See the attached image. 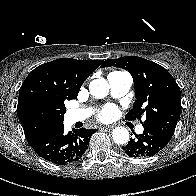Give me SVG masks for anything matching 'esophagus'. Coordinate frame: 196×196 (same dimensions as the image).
<instances>
[{
  "mask_svg": "<svg viewBox=\"0 0 196 196\" xmlns=\"http://www.w3.org/2000/svg\"><path fill=\"white\" fill-rule=\"evenodd\" d=\"M103 129H106V130H111V129H113L114 128V126L113 125H108V126H104V127H102Z\"/></svg>",
  "mask_w": 196,
  "mask_h": 196,
  "instance_id": "34e87169",
  "label": "esophagus"
}]
</instances>
